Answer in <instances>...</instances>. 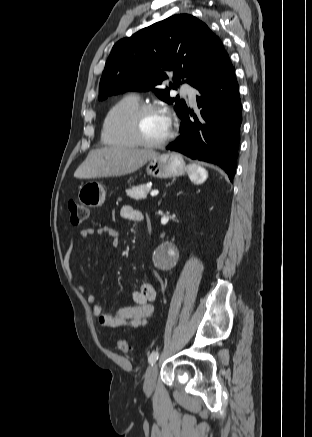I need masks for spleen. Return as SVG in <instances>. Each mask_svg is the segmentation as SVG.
<instances>
[{"instance_id": "obj_1", "label": "spleen", "mask_w": 312, "mask_h": 437, "mask_svg": "<svg viewBox=\"0 0 312 437\" xmlns=\"http://www.w3.org/2000/svg\"><path fill=\"white\" fill-rule=\"evenodd\" d=\"M187 172L191 181L196 184L203 183L208 177L207 170L197 164H189L187 166Z\"/></svg>"}]
</instances>
